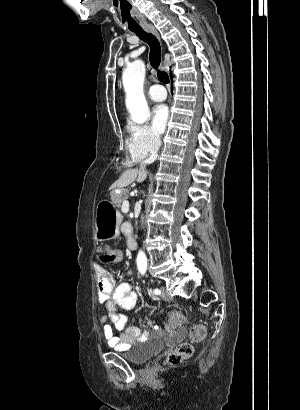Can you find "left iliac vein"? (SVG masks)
<instances>
[{
  "label": "left iliac vein",
  "instance_id": "4c4485c4",
  "mask_svg": "<svg viewBox=\"0 0 300 410\" xmlns=\"http://www.w3.org/2000/svg\"><path fill=\"white\" fill-rule=\"evenodd\" d=\"M161 291H162V299L165 301H170L171 300V296L167 293L166 288L165 287H161Z\"/></svg>",
  "mask_w": 300,
  "mask_h": 410
}]
</instances>
